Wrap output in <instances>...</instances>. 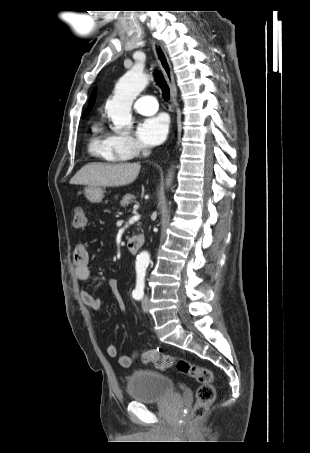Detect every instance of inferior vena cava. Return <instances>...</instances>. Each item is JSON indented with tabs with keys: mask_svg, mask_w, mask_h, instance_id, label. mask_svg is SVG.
Returning a JSON list of instances; mask_svg holds the SVG:
<instances>
[{
	"mask_svg": "<svg viewBox=\"0 0 310 453\" xmlns=\"http://www.w3.org/2000/svg\"><path fill=\"white\" fill-rule=\"evenodd\" d=\"M142 154H143V156H148L150 154V151L148 150L147 147L143 148Z\"/></svg>",
	"mask_w": 310,
	"mask_h": 453,
	"instance_id": "inferior-vena-cava-1",
	"label": "inferior vena cava"
}]
</instances>
